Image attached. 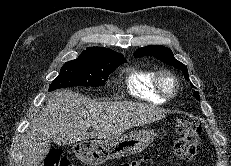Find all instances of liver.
I'll return each mask as SVG.
<instances>
[{
    "label": "liver",
    "mask_w": 231,
    "mask_h": 166,
    "mask_svg": "<svg viewBox=\"0 0 231 166\" xmlns=\"http://www.w3.org/2000/svg\"><path fill=\"white\" fill-rule=\"evenodd\" d=\"M164 116V109L151 104L95 101L70 90L56 91L23 136L22 164L39 166L52 141L67 145L90 138L115 139Z\"/></svg>",
    "instance_id": "1"
}]
</instances>
